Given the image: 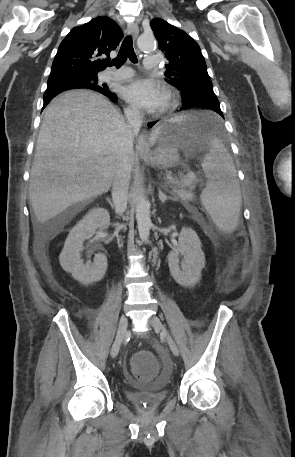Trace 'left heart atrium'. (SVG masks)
<instances>
[{
  "label": "left heart atrium",
  "mask_w": 295,
  "mask_h": 457,
  "mask_svg": "<svg viewBox=\"0 0 295 457\" xmlns=\"http://www.w3.org/2000/svg\"><path fill=\"white\" fill-rule=\"evenodd\" d=\"M123 98L135 108L155 111L165 99L163 88L151 79H136L123 89Z\"/></svg>",
  "instance_id": "1"
}]
</instances>
